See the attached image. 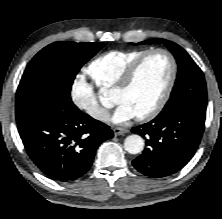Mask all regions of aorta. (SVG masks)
Masks as SVG:
<instances>
[{"label":"aorta","instance_id":"obj_1","mask_svg":"<svg viewBox=\"0 0 222 219\" xmlns=\"http://www.w3.org/2000/svg\"><path fill=\"white\" fill-rule=\"evenodd\" d=\"M124 148L130 154H138L144 149V140L137 134H132L126 137Z\"/></svg>","mask_w":222,"mask_h":219}]
</instances>
